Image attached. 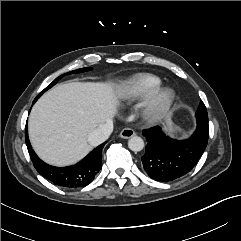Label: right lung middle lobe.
<instances>
[{
	"label": "right lung middle lobe",
	"instance_id": "obj_1",
	"mask_svg": "<svg viewBox=\"0 0 241 241\" xmlns=\"http://www.w3.org/2000/svg\"><path fill=\"white\" fill-rule=\"evenodd\" d=\"M89 70H92L91 67H86V68H81V69H77V70H74V71H71V72H68V74H73V73H81V72H85V71H89ZM63 76H65V74L59 76L58 78H56L49 86H47L37 97L35 100H37L47 89L51 88L53 85H55L59 79H61Z\"/></svg>",
	"mask_w": 241,
	"mask_h": 241
}]
</instances>
